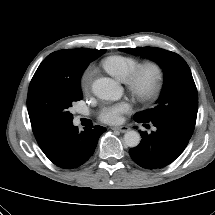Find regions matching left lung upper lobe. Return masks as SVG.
<instances>
[{"instance_id": "5c2ea615", "label": "left lung upper lobe", "mask_w": 215, "mask_h": 215, "mask_svg": "<svg viewBox=\"0 0 215 215\" xmlns=\"http://www.w3.org/2000/svg\"><path fill=\"white\" fill-rule=\"evenodd\" d=\"M121 50L155 61L164 72V85L155 107L136 113L134 119L168 122L192 135L198 111V95L185 60L176 53L156 47Z\"/></svg>"}]
</instances>
